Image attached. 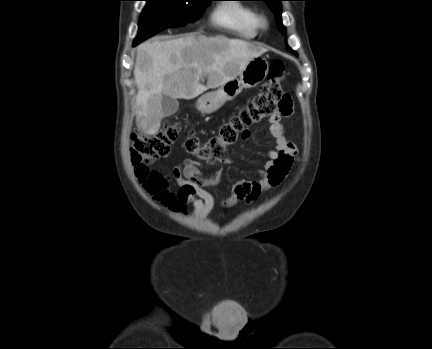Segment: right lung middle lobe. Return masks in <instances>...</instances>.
I'll return each mask as SVG.
<instances>
[{"instance_id": "1", "label": "right lung middle lobe", "mask_w": 432, "mask_h": 349, "mask_svg": "<svg viewBox=\"0 0 432 349\" xmlns=\"http://www.w3.org/2000/svg\"><path fill=\"white\" fill-rule=\"evenodd\" d=\"M139 34L133 46L168 28L186 25L198 19L211 0H145Z\"/></svg>"}]
</instances>
